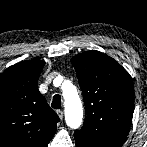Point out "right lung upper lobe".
<instances>
[{
    "label": "right lung upper lobe",
    "instance_id": "obj_1",
    "mask_svg": "<svg viewBox=\"0 0 147 147\" xmlns=\"http://www.w3.org/2000/svg\"><path fill=\"white\" fill-rule=\"evenodd\" d=\"M42 60H27L0 75V147H47L58 115L38 90Z\"/></svg>",
    "mask_w": 147,
    "mask_h": 147
}]
</instances>
